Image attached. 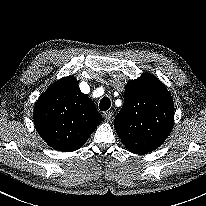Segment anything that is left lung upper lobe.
<instances>
[{"label": "left lung upper lobe", "mask_w": 206, "mask_h": 206, "mask_svg": "<svg viewBox=\"0 0 206 206\" xmlns=\"http://www.w3.org/2000/svg\"><path fill=\"white\" fill-rule=\"evenodd\" d=\"M174 103L165 85L144 73L126 84L124 104L114 120L125 147L146 154L163 144L172 131Z\"/></svg>", "instance_id": "1"}]
</instances>
